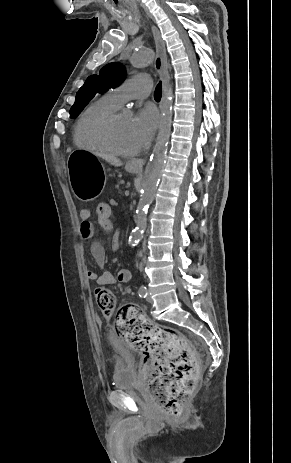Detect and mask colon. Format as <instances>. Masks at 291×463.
I'll use <instances>...</instances> for the list:
<instances>
[{
  "instance_id": "5ec220e1",
  "label": "colon",
  "mask_w": 291,
  "mask_h": 463,
  "mask_svg": "<svg viewBox=\"0 0 291 463\" xmlns=\"http://www.w3.org/2000/svg\"><path fill=\"white\" fill-rule=\"evenodd\" d=\"M111 216V202L93 205V219L98 226H111ZM95 302L105 314L115 310V296L106 288L96 290ZM116 333L142 354L141 373L155 402L168 415L179 418L198 378L196 357L188 340L175 329L154 325L129 306L116 313Z\"/></svg>"
}]
</instances>
